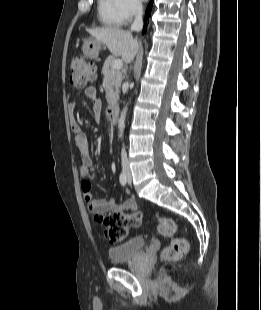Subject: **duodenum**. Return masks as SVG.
Instances as JSON below:
<instances>
[{"label":"duodenum","instance_id":"1","mask_svg":"<svg viewBox=\"0 0 261 310\" xmlns=\"http://www.w3.org/2000/svg\"><path fill=\"white\" fill-rule=\"evenodd\" d=\"M118 113H119V107L116 104H112L107 111V117L108 121L111 124H114L117 121L118 118Z\"/></svg>","mask_w":261,"mask_h":310}]
</instances>
